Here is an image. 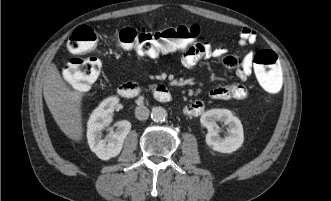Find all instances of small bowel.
<instances>
[{"instance_id":"c3829d8e","label":"small bowel","mask_w":331,"mask_h":201,"mask_svg":"<svg viewBox=\"0 0 331 201\" xmlns=\"http://www.w3.org/2000/svg\"><path fill=\"white\" fill-rule=\"evenodd\" d=\"M239 42L241 45H253L257 41V34L254 30L243 28L240 31ZM221 59L222 64L227 69L236 71L237 77L241 81H246L253 71V54L248 52L243 58L227 55L224 46L213 47L207 42L196 43L183 51L181 63L186 68L194 67L200 61L209 59ZM212 99L218 100H242L247 98L248 90L240 83H230L223 86L214 87L209 91ZM205 108L202 100H195L183 108L187 116L196 117L203 113Z\"/></svg>"}]
</instances>
